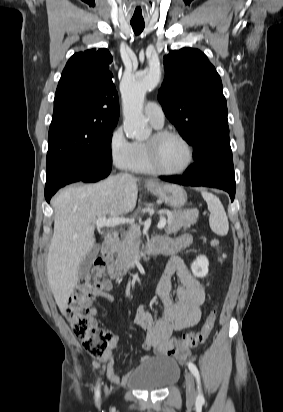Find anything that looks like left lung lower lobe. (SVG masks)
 I'll return each instance as SVG.
<instances>
[{"label": "left lung lower lobe", "mask_w": 283, "mask_h": 412, "mask_svg": "<svg viewBox=\"0 0 283 412\" xmlns=\"http://www.w3.org/2000/svg\"><path fill=\"white\" fill-rule=\"evenodd\" d=\"M195 161L182 176H160V178L180 185L219 188L228 192L233 201L236 185L234 167L230 160L220 153L209 155L207 152H202Z\"/></svg>", "instance_id": "1"}]
</instances>
